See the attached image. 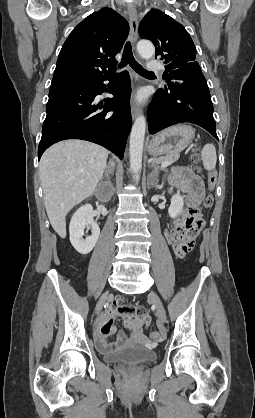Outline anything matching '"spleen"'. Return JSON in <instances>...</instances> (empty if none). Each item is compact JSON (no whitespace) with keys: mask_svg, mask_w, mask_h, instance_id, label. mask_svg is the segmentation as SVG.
<instances>
[{"mask_svg":"<svg viewBox=\"0 0 255 418\" xmlns=\"http://www.w3.org/2000/svg\"><path fill=\"white\" fill-rule=\"evenodd\" d=\"M203 166L206 170L211 171L215 168L217 162L216 149L213 144H205L201 151Z\"/></svg>","mask_w":255,"mask_h":418,"instance_id":"obj_1","label":"spleen"}]
</instances>
